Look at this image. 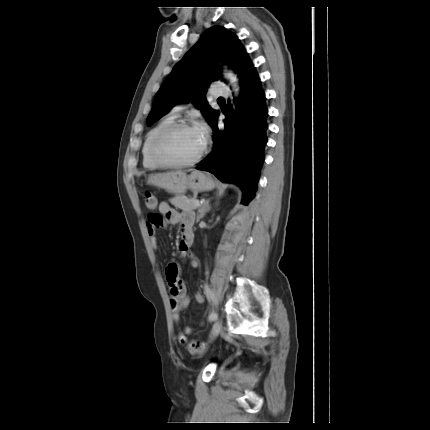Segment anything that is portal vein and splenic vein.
Listing matches in <instances>:
<instances>
[{
  "label": "portal vein and splenic vein",
  "mask_w": 430,
  "mask_h": 430,
  "mask_svg": "<svg viewBox=\"0 0 430 430\" xmlns=\"http://www.w3.org/2000/svg\"><path fill=\"white\" fill-rule=\"evenodd\" d=\"M194 205L197 206V207H199V206H201V203L199 202V200L195 199L194 200Z\"/></svg>",
  "instance_id": "1"
}]
</instances>
